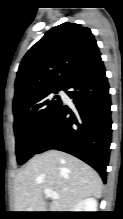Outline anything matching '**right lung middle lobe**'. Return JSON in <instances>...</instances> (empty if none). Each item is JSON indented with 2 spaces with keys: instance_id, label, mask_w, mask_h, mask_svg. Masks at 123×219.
Masks as SVG:
<instances>
[{
  "instance_id": "obj_1",
  "label": "right lung middle lobe",
  "mask_w": 123,
  "mask_h": 219,
  "mask_svg": "<svg viewBox=\"0 0 123 219\" xmlns=\"http://www.w3.org/2000/svg\"><path fill=\"white\" fill-rule=\"evenodd\" d=\"M62 86L49 88L13 104L14 132L18 164L36 154L41 138L55 112L61 105L56 94Z\"/></svg>"
}]
</instances>
